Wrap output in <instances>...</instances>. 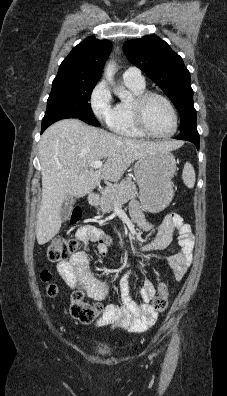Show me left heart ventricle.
<instances>
[{"label": "left heart ventricle", "mask_w": 227, "mask_h": 396, "mask_svg": "<svg viewBox=\"0 0 227 396\" xmlns=\"http://www.w3.org/2000/svg\"><path fill=\"white\" fill-rule=\"evenodd\" d=\"M145 120L155 133L166 134L174 126L173 115L168 106L159 98H151L145 107Z\"/></svg>", "instance_id": "b2bd125f"}]
</instances>
